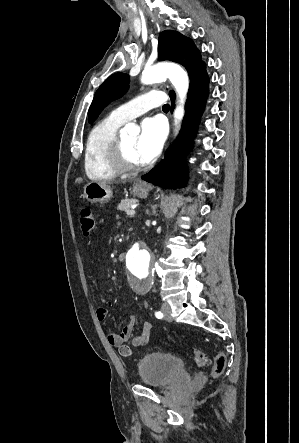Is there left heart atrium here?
<instances>
[{"label":"left heart atrium","mask_w":299,"mask_h":443,"mask_svg":"<svg viewBox=\"0 0 299 443\" xmlns=\"http://www.w3.org/2000/svg\"><path fill=\"white\" fill-rule=\"evenodd\" d=\"M165 137V127L159 117H148L141 124L137 155L142 164L152 162L159 154Z\"/></svg>","instance_id":"1"}]
</instances>
